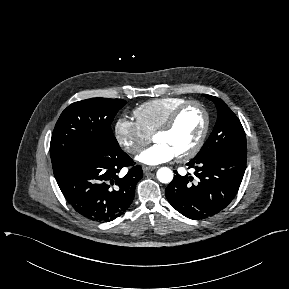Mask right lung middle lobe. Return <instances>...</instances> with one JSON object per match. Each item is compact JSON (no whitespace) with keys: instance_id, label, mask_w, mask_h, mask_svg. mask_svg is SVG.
Returning <instances> with one entry per match:
<instances>
[{"instance_id":"right-lung-middle-lobe-1","label":"right lung middle lobe","mask_w":289,"mask_h":289,"mask_svg":"<svg viewBox=\"0 0 289 289\" xmlns=\"http://www.w3.org/2000/svg\"><path fill=\"white\" fill-rule=\"evenodd\" d=\"M122 99L91 98L75 102L60 115L52 133L50 155L54 175L84 152L121 151L111 129Z\"/></svg>"}]
</instances>
